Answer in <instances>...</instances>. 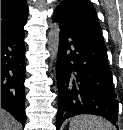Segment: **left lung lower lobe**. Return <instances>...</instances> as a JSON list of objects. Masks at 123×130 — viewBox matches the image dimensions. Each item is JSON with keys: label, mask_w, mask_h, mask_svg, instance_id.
Returning a JSON list of instances; mask_svg holds the SVG:
<instances>
[{"label": "left lung lower lobe", "mask_w": 123, "mask_h": 130, "mask_svg": "<svg viewBox=\"0 0 123 130\" xmlns=\"http://www.w3.org/2000/svg\"><path fill=\"white\" fill-rule=\"evenodd\" d=\"M53 21L60 27L56 129L78 114L101 115L116 125L118 102L104 41L81 32L56 9Z\"/></svg>", "instance_id": "obj_1"}]
</instances>
